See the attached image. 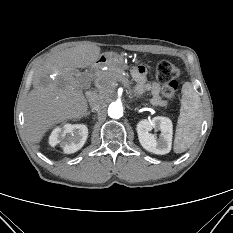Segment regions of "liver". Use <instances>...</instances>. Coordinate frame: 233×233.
Instances as JSON below:
<instances>
[{"instance_id":"liver-1","label":"liver","mask_w":233,"mask_h":233,"mask_svg":"<svg viewBox=\"0 0 233 233\" xmlns=\"http://www.w3.org/2000/svg\"><path fill=\"white\" fill-rule=\"evenodd\" d=\"M99 57V46L84 43L53 53L35 71L24 113L32 143H39L53 125L86 115L88 104L77 79L78 68L91 66Z\"/></svg>"}]
</instances>
